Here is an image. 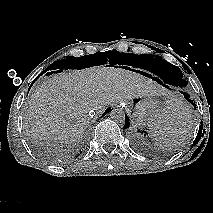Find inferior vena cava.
<instances>
[{
    "label": "inferior vena cava",
    "mask_w": 213,
    "mask_h": 213,
    "mask_svg": "<svg viewBox=\"0 0 213 213\" xmlns=\"http://www.w3.org/2000/svg\"><path fill=\"white\" fill-rule=\"evenodd\" d=\"M88 115H89L90 117H93V116L95 115V111H94L93 109H90V110L88 111Z\"/></svg>",
    "instance_id": "inferior-vena-cava-1"
}]
</instances>
